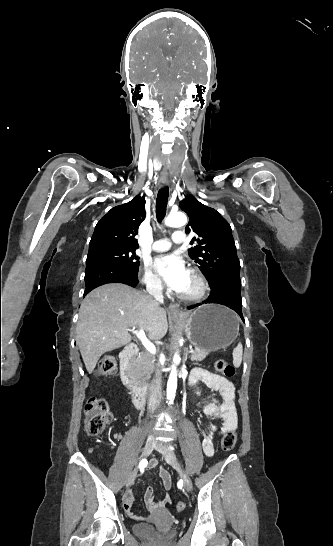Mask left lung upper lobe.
<instances>
[{
	"instance_id": "1",
	"label": "left lung upper lobe",
	"mask_w": 333,
	"mask_h": 546,
	"mask_svg": "<svg viewBox=\"0 0 333 546\" xmlns=\"http://www.w3.org/2000/svg\"><path fill=\"white\" fill-rule=\"evenodd\" d=\"M180 207L189 216L186 232H195L198 244L188 250L189 256L198 265L209 285L218 279L240 274V262L229 223L215 209L200 203L189 195L180 202Z\"/></svg>"
}]
</instances>
